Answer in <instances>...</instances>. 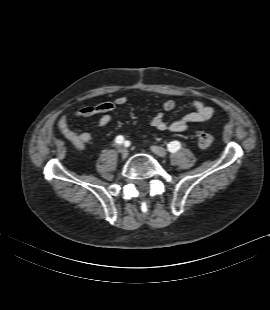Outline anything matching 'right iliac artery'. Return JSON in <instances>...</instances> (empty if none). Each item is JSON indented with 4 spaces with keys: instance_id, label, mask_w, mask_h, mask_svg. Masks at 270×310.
Wrapping results in <instances>:
<instances>
[{
    "instance_id": "obj_1",
    "label": "right iliac artery",
    "mask_w": 270,
    "mask_h": 310,
    "mask_svg": "<svg viewBox=\"0 0 270 310\" xmlns=\"http://www.w3.org/2000/svg\"><path fill=\"white\" fill-rule=\"evenodd\" d=\"M115 142L117 144H122L124 142V137L122 135L117 136Z\"/></svg>"
}]
</instances>
